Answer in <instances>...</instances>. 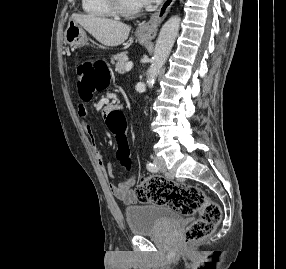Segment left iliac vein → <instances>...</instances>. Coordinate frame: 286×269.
<instances>
[{
  "label": "left iliac vein",
  "instance_id": "1",
  "mask_svg": "<svg viewBox=\"0 0 286 269\" xmlns=\"http://www.w3.org/2000/svg\"><path fill=\"white\" fill-rule=\"evenodd\" d=\"M154 163H155L156 165H158L160 171L165 172V171L167 170L165 161H164V159H163L162 157H156V158L154 159Z\"/></svg>",
  "mask_w": 286,
  "mask_h": 269
}]
</instances>
